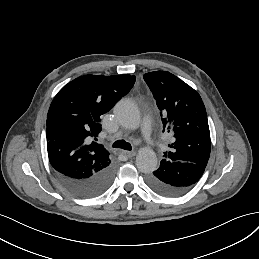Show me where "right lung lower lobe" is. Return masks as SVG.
I'll use <instances>...</instances> for the list:
<instances>
[{
	"label": "right lung lower lobe",
	"instance_id": "right-lung-lower-lobe-1",
	"mask_svg": "<svg viewBox=\"0 0 259 259\" xmlns=\"http://www.w3.org/2000/svg\"><path fill=\"white\" fill-rule=\"evenodd\" d=\"M56 177L63 187L80 198H92L104 193L111 185L115 168L109 163L105 169L86 179H75L55 171Z\"/></svg>",
	"mask_w": 259,
	"mask_h": 259
}]
</instances>
